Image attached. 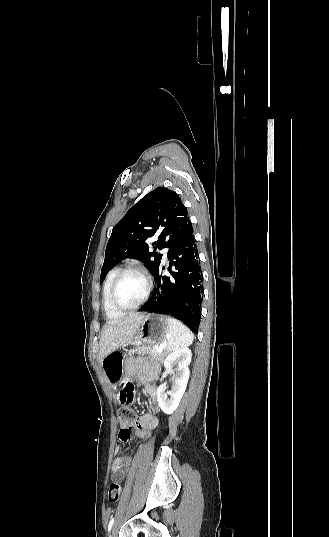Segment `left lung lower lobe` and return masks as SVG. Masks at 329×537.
Instances as JSON below:
<instances>
[{
	"label": "left lung lower lobe",
	"mask_w": 329,
	"mask_h": 537,
	"mask_svg": "<svg viewBox=\"0 0 329 537\" xmlns=\"http://www.w3.org/2000/svg\"><path fill=\"white\" fill-rule=\"evenodd\" d=\"M168 271L162 274L159 267L153 273L155 288L150 299L141 309L173 315L193 332L198 331L202 294V273L193 227L190 225L180 239L169 249ZM175 271H171V269Z\"/></svg>",
	"instance_id": "obj_1"
}]
</instances>
